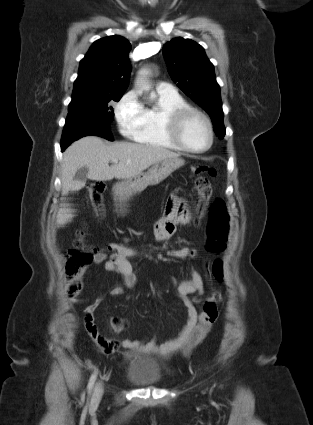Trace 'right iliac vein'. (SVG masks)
<instances>
[{
    "label": "right iliac vein",
    "instance_id": "63e3f726",
    "mask_svg": "<svg viewBox=\"0 0 313 425\" xmlns=\"http://www.w3.org/2000/svg\"><path fill=\"white\" fill-rule=\"evenodd\" d=\"M103 395V383L102 382H97L95 389H94V393L91 399V404L92 405H96L98 404V402L100 401L101 397Z\"/></svg>",
    "mask_w": 313,
    "mask_h": 425
}]
</instances>
